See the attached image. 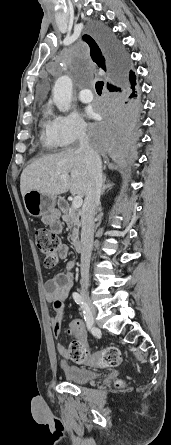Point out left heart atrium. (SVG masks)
<instances>
[{"label":"left heart atrium","instance_id":"1","mask_svg":"<svg viewBox=\"0 0 171 445\" xmlns=\"http://www.w3.org/2000/svg\"><path fill=\"white\" fill-rule=\"evenodd\" d=\"M87 115H88L89 117H94L95 113H94L92 110H88V111H87Z\"/></svg>","mask_w":171,"mask_h":445}]
</instances>
